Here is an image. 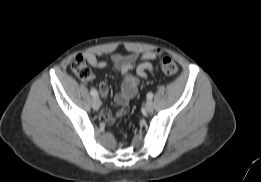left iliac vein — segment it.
Masks as SVG:
<instances>
[{
  "label": "left iliac vein",
  "instance_id": "4c4485c4",
  "mask_svg": "<svg viewBox=\"0 0 261 182\" xmlns=\"http://www.w3.org/2000/svg\"><path fill=\"white\" fill-rule=\"evenodd\" d=\"M145 110L147 111V112H152L153 110H154V104H153V102L152 101H147L146 102V104H145Z\"/></svg>",
  "mask_w": 261,
  "mask_h": 182
}]
</instances>
